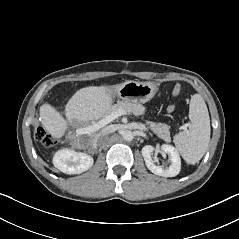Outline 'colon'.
Listing matches in <instances>:
<instances>
[{
    "label": "colon",
    "instance_id": "5ec220e1",
    "mask_svg": "<svg viewBox=\"0 0 239 239\" xmlns=\"http://www.w3.org/2000/svg\"><path fill=\"white\" fill-rule=\"evenodd\" d=\"M35 138L45 146H53L56 143L55 138L49 134L43 127H38L35 131Z\"/></svg>",
    "mask_w": 239,
    "mask_h": 239
}]
</instances>
